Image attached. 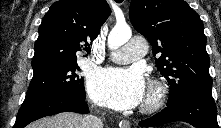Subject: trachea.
<instances>
[{
  "mask_svg": "<svg viewBox=\"0 0 221 128\" xmlns=\"http://www.w3.org/2000/svg\"><path fill=\"white\" fill-rule=\"evenodd\" d=\"M116 2H117V3H122V2H123V0H116Z\"/></svg>",
  "mask_w": 221,
  "mask_h": 128,
  "instance_id": "3493384b",
  "label": "trachea"
}]
</instances>
